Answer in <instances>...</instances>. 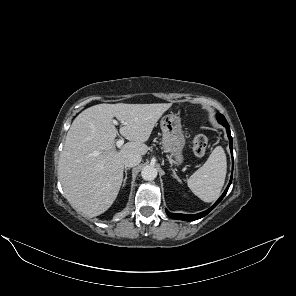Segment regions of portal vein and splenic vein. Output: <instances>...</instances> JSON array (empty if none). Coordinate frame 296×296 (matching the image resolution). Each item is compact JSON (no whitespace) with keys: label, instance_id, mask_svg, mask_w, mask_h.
<instances>
[{"label":"portal vein and splenic vein","instance_id":"1","mask_svg":"<svg viewBox=\"0 0 296 296\" xmlns=\"http://www.w3.org/2000/svg\"><path fill=\"white\" fill-rule=\"evenodd\" d=\"M113 123H114L115 125L118 124V122L115 121V120H113ZM123 144H124V139H123V138L119 139V140L116 142V145H117L118 148H120Z\"/></svg>","mask_w":296,"mask_h":296}]
</instances>
